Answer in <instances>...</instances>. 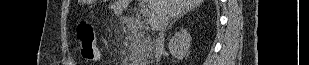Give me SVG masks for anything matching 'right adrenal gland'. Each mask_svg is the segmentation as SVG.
<instances>
[{"instance_id":"right-adrenal-gland-1","label":"right adrenal gland","mask_w":309,"mask_h":65,"mask_svg":"<svg viewBox=\"0 0 309 65\" xmlns=\"http://www.w3.org/2000/svg\"><path fill=\"white\" fill-rule=\"evenodd\" d=\"M181 16H182V15H181ZM181 16L176 17V18L172 21V23L168 26V29H171V28H172V25H173L178 19H180Z\"/></svg>"}]
</instances>
